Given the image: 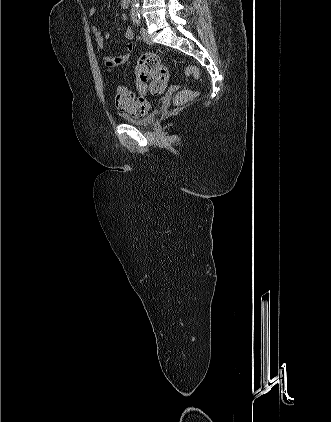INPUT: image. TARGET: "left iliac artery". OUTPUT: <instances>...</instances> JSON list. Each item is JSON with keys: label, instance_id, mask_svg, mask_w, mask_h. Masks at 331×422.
Here are the masks:
<instances>
[{"label": "left iliac artery", "instance_id": "obj_1", "mask_svg": "<svg viewBox=\"0 0 331 422\" xmlns=\"http://www.w3.org/2000/svg\"><path fill=\"white\" fill-rule=\"evenodd\" d=\"M133 19L136 22L137 25H140L141 23V16H140V12L138 10L133 11L132 13Z\"/></svg>", "mask_w": 331, "mask_h": 422}]
</instances>
